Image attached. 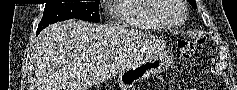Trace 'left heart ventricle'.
<instances>
[{
    "mask_svg": "<svg viewBox=\"0 0 237 90\" xmlns=\"http://www.w3.org/2000/svg\"><path fill=\"white\" fill-rule=\"evenodd\" d=\"M181 19V13H176L175 16H171L170 19H163L168 25H175Z\"/></svg>",
    "mask_w": 237,
    "mask_h": 90,
    "instance_id": "b2bd125f",
    "label": "left heart ventricle"
}]
</instances>
